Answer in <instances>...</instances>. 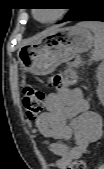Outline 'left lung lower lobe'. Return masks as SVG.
Here are the masks:
<instances>
[{"instance_id": "left-lung-lower-lobe-1", "label": "left lung lower lobe", "mask_w": 104, "mask_h": 169, "mask_svg": "<svg viewBox=\"0 0 104 169\" xmlns=\"http://www.w3.org/2000/svg\"><path fill=\"white\" fill-rule=\"evenodd\" d=\"M85 20L104 22V2L101 0H79L77 9L63 22Z\"/></svg>"}]
</instances>
